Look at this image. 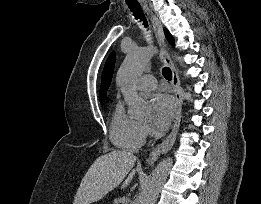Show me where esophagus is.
<instances>
[{"mask_svg":"<svg viewBox=\"0 0 261 204\" xmlns=\"http://www.w3.org/2000/svg\"><path fill=\"white\" fill-rule=\"evenodd\" d=\"M143 8L146 11V13L149 15V17L152 21L155 35L157 37L159 44L164 49V52L161 55V61L171 69L172 86H173L174 95H175L176 104H177L176 117H175V121H174V125H173L171 133L167 136V138L161 144H159L158 146H156L153 149L150 157L147 159V164L152 165L158 159V157L160 155L167 153L172 148V146L176 140V136H177L179 126H180L181 114H182V95H181V90H180V79H179L178 71H177L172 59L170 58V56L168 55V53L165 50L166 45H165L162 25H161L160 21L158 20V18L151 12V10L146 5H144Z\"/></svg>","mask_w":261,"mask_h":204,"instance_id":"obj_1","label":"esophagus"}]
</instances>
